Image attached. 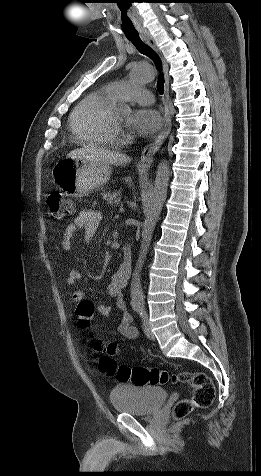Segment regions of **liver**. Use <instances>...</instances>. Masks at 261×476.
I'll use <instances>...</instances> for the list:
<instances>
[{"label": "liver", "instance_id": "1", "mask_svg": "<svg viewBox=\"0 0 261 476\" xmlns=\"http://www.w3.org/2000/svg\"><path fill=\"white\" fill-rule=\"evenodd\" d=\"M68 158L72 159H88L91 161H96L100 163H105L109 165H124L130 163L131 158L126 156L125 154L111 151L106 148L97 147L94 145L84 146L79 149H75L71 151L68 155Z\"/></svg>", "mask_w": 261, "mask_h": 476}]
</instances>
